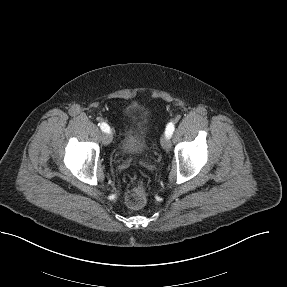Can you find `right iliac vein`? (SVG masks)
Returning <instances> with one entry per match:
<instances>
[{
  "label": "right iliac vein",
  "instance_id": "63e3f726",
  "mask_svg": "<svg viewBox=\"0 0 287 287\" xmlns=\"http://www.w3.org/2000/svg\"><path fill=\"white\" fill-rule=\"evenodd\" d=\"M112 134L111 133H106V134H103L102 136V142L104 145H108L112 142Z\"/></svg>",
  "mask_w": 287,
  "mask_h": 287
}]
</instances>
